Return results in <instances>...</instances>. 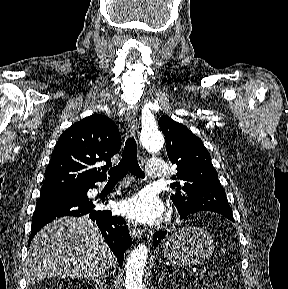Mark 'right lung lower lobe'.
I'll list each match as a JSON object with an SVG mask.
<instances>
[{
	"instance_id": "right-lung-lower-lobe-1",
	"label": "right lung lower lobe",
	"mask_w": 288,
	"mask_h": 289,
	"mask_svg": "<svg viewBox=\"0 0 288 289\" xmlns=\"http://www.w3.org/2000/svg\"><path fill=\"white\" fill-rule=\"evenodd\" d=\"M95 187V184H92L84 188L86 198L76 196L40 198L32 217L31 240L43 226L56 218L89 215L91 220L96 221L106 243L116 255L119 265H122L124 252L132 244L128 227L122 217L113 216L107 210H94L95 205L88 200L87 191Z\"/></svg>"
}]
</instances>
